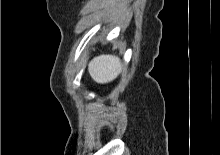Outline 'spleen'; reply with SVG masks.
I'll use <instances>...</instances> for the list:
<instances>
[{"label":"spleen","instance_id":"3e777b00","mask_svg":"<svg viewBox=\"0 0 220 155\" xmlns=\"http://www.w3.org/2000/svg\"><path fill=\"white\" fill-rule=\"evenodd\" d=\"M120 59L114 55H100L95 57L88 65V71L92 79L105 84L113 81L121 72Z\"/></svg>","mask_w":220,"mask_h":155}]
</instances>
